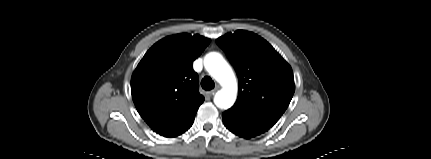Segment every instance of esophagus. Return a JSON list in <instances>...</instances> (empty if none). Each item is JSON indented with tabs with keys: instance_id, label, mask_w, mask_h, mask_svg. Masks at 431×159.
I'll return each mask as SVG.
<instances>
[{
	"instance_id": "obj_1",
	"label": "esophagus",
	"mask_w": 431,
	"mask_h": 159,
	"mask_svg": "<svg viewBox=\"0 0 431 159\" xmlns=\"http://www.w3.org/2000/svg\"><path fill=\"white\" fill-rule=\"evenodd\" d=\"M218 88H219V87H216L215 89H213V90H211V91L207 92V95H208V96H210V97H212V96L216 93V91L218 90Z\"/></svg>"
}]
</instances>
